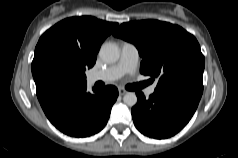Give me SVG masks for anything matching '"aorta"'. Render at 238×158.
<instances>
[{
    "instance_id": "aorta-1",
    "label": "aorta",
    "mask_w": 238,
    "mask_h": 158,
    "mask_svg": "<svg viewBox=\"0 0 238 158\" xmlns=\"http://www.w3.org/2000/svg\"><path fill=\"white\" fill-rule=\"evenodd\" d=\"M100 58L106 63H115L120 57V50L113 43H105L99 51ZM123 101L127 106H134L137 103V96L134 92H128L124 95Z\"/></svg>"
}]
</instances>
